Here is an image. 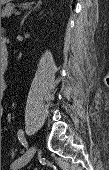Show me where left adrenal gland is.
<instances>
[{"label": "left adrenal gland", "instance_id": "a2214340", "mask_svg": "<svg viewBox=\"0 0 109 170\" xmlns=\"http://www.w3.org/2000/svg\"><path fill=\"white\" fill-rule=\"evenodd\" d=\"M40 1L39 2H37L36 4H35V6L30 10V11H28V13H26V15H24V17H23V19H22V21H21V26L23 25V23H24V21H25V19L27 18V16L33 11V10H35L36 8H39L40 7Z\"/></svg>", "mask_w": 109, "mask_h": 170}]
</instances>
